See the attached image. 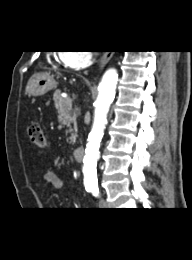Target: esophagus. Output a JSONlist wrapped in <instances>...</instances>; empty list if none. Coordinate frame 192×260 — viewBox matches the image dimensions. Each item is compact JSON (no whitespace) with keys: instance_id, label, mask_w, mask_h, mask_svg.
I'll return each instance as SVG.
<instances>
[{"instance_id":"esophagus-1","label":"esophagus","mask_w":192,"mask_h":260,"mask_svg":"<svg viewBox=\"0 0 192 260\" xmlns=\"http://www.w3.org/2000/svg\"><path fill=\"white\" fill-rule=\"evenodd\" d=\"M112 55H113V53H109V52H106L103 55V57L99 63V70H101L106 65V63L111 59Z\"/></svg>"}]
</instances>
